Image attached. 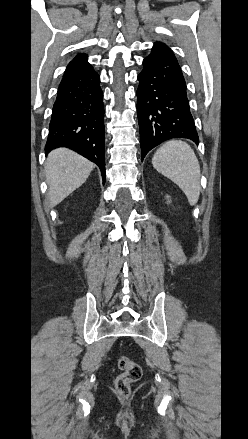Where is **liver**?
<instances>
[{"label":"liver","instance_id":"1","mask_svg":"<svg viewBox=\"0 0 248 439\" xmlns=\"http://www.w3.org/2000/svg\"><path fill=\"white\" fill-rule=\"evenodd\" d=\"M94 164L66 148L53 150L45 164L49 207L62 202L89 177Z\"/></svg>","mask_w":248,"mask_h":439}]
</instances>
